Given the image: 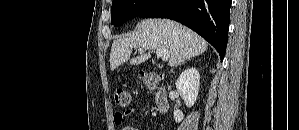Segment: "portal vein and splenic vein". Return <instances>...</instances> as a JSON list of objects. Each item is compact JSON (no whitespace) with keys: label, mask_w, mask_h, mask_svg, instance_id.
I'll list each match as a JSON object with an SVG mask.
<instances>
[{"label":"portal vein and splenic vein","mask_w":299,"mask_h":130,"mask_svg":"<svg viewBox=\"0 0 299 130\" xmlns=\"http://www.w3.org/2000/svg\"><path fill=\"white\" fill-rule=\"evenodd\" d=\"M138 50H139V52H142L141 48H139ZM156 55L158 57H160L162 59V61H167L170 58V53L168 52V50L163 49V48L162 49H157L156 50Z\"/></svg>","instance_id":"obj_1"}]
</instances>
